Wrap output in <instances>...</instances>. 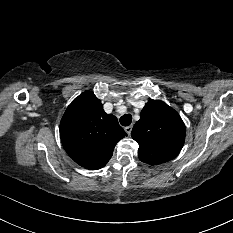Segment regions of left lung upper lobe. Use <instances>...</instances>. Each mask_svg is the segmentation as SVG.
<instances>
[{"instance_id": "5c2ea615", "label": "left lung upper lobe", "mask_w": 233, "mask_h": 233, "mask_svg": "<svg viewBox=\"0 0 233 233\" xmlns=\"http://www.w3.org/2000/svg\"><path fill=\"white\" fill-rule=\"evenodd\" d=\"M185 125L179 114L162 101L150 100L131 136L139 144V159L159 165L175 158L185 141Z\"/></svg>"}]
</instances>
